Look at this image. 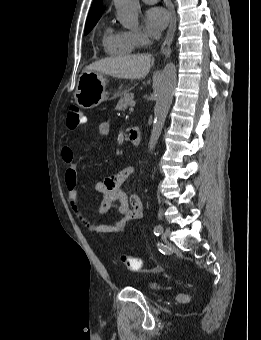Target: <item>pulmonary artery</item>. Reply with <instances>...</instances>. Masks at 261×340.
Returning <instances> with one entry per match:
<instances>
[{
  "label": "pulmonary artery",
  "mask_w": 261,
  "mask_h": 340,
  "mask_svg": "<svg viewBox=\"0 0 261 340\" xmlns=\"http://www.w3.org/2000/svg\"><path fill=\"white\" fill-rule=\"evenodd\" d=\"M145 3H148V4H153L155 3L157 0H143Z\"/></svg>",
  "instance_id": "e3ab8cb5"
}]
</instances>
